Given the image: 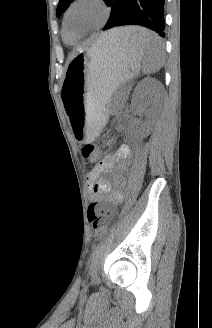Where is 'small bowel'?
<instances>
[{
	"instance_id": "1",
	"label": "small bowel",
	"mask_w": 212,
	"mask_h": 328,
	"mask_svg": "<svg viewBox=\"0 0 212 328\" xmlns=\"http://www.w3.org/2000/svg\"><path fill=\"white\" fill-rule=\"evenodd\" d=\"M130 160V150L127 146H120L115 153L105 154L99 163L91 169L86 177L87 183L91 189V199L93 201L101 200L103 194L108 192L109 186L107 182L100 178V176L111 170L115 162H121L123 168L116 175V182L118 188L115 189L112 194L107 198L109 203L108 212L112 214L115 207L123 200L122 186L125 183V167L128 165Z\"/></svg>"
}]
</instances>
